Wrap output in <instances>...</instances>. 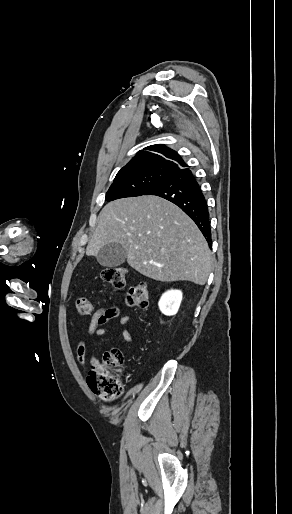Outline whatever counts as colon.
Masks as SVG:
<instances>
[{"instance_id":"5ec220e1","label":"colon","mask_w":292,"mask_h":514,"mask_svg":"<svg viewBox=\"0 0 292 514\" xmlns=\"http://www.w3.org/2000/svg\"><path fill=\"white\" fill-rule=\"evenodd\" d=\"M127 269L125 267H110L100 273L101 280L114 290H122L126 285ZM129 305L144 309L149 305V288L147 283L133 284L127 293ZM77 310L81 315H90L93 306L89 298L81 295L77 298ZM124 362V353L119 349H112L103 354L98 364L92 365L87 375V383L91 391L99 398L112 404L123 393V384L120 381L118 370Z\"/></svg>"}]
</instances>
